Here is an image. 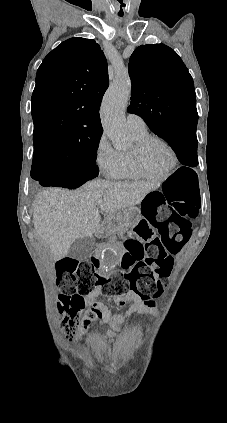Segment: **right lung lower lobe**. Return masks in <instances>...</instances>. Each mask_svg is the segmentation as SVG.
<instances>
[{"label": "right lung lower lobe", "mask_w": 227, "mask_h": 423, "mask_svg": "<svg viewBox=\"0 0 227 423\" xmlns=\"http://www.w3.org/2000/svg\"><path fill=\"white\" fill-rule=\"evenodd\" d=\"M34 180L44 187H64L75 189L93 177H84L76 171L67 170L53 160L41 161L34 166Z\"/></svg>", "instance_id": "right-lung-lower-lobe-1"}]
</instances>
